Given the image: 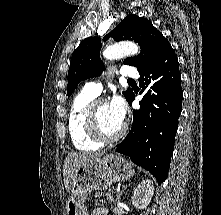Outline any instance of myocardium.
<instances>
[{
    "instance_id": "1",
    "label": "myocardium",
    "mask_w": 221,
    "mask_h": 215,
    "mask_svg": "<svg viewBox=\"0 0 221 215\" xmlns=\"http://www.w3.org/2000/svg\"><path fill=\"white\" fill-rule=\"evenodd\" d=\"M108 103L105 98H95L86 106L84 111V126L87 134L95 141L104 144L114 143L120 140L126 132V124H122L120 130L114 135H106L99 126L97 111L99 106Z\"/></svg>"
}]
</instances>
